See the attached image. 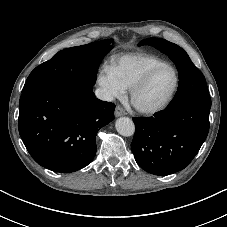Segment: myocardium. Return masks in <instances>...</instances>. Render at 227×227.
Segmentation results:
<instances>
[{
    "label": "myocardium",
    "instance_id": "obj_1",
    "mask_svg": "<svg viewBox=\"0 0 227 227\" xmlns=\"http://www.w3.org/2000/svg\"><path fill=\"white\" fill-rule=\"evenodd\" d=\"M165 68H170L175 73V86H174L172 92L170 93V95L168 96V98L162 104H160L156 107L143 108V107L138 106L135 102V98H136L137 94L149 83V81L153 78V76L155 74H157L159 71H161ZM179 87H180V74H179V71L177 70V68L169 63L162 64V65H159V66L151 69L150 71H148L130 88L129 101H130L131 106L138 113H140L142 115H147V116L155 115V114H158V113L164 111L165 109H167L170 106V104L173 102V100L179 90Z\"/></svg>",
    "mask_w": 227,
    "mask_h": 227
}]
</instances>
